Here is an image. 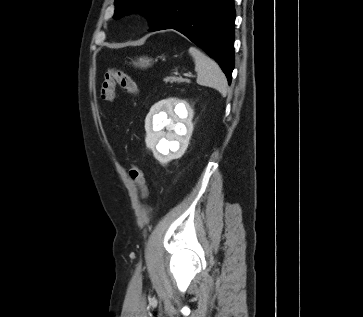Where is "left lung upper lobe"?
Instances as JSON below:
<instances>
[{"instance_id": "1", "label": "left lung upper lobe", "mask_w": 363, "mask_h": 317, "mask_svg": "<svg viewBox=\"0 0 363 317\" xmlns=\"http://www.w3.org/2000/svg\"><path fill=\"white\" fill-rule=\"evenodd\" d=\"M165 0H115V14L119 18L129 11H141L149 19L150 25L156 19Z\"/></svg>"}]
</instances>
